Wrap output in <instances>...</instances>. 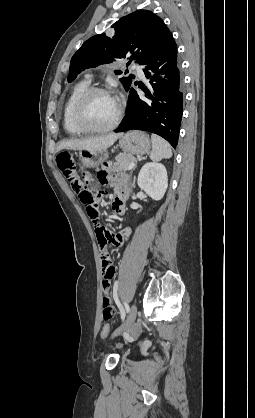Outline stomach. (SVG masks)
<instances>
[{
  "mask_svg": "<svg viewBox=\"0 0 255 418\" xmlns=\"http://www.w3.org/2000/svg\"><path fill=\"white\" fill-rule=\"evenodd\" d=\"M119 146L125 154L143 155L150 151L151 143L149 136L141 131H131L122 134L119 138ZM108 157L107 151H83L80 152V159L83 167L97 168L102 165Z\"/></svg>",
  "mask_w": 255,
  "mask_h": 418,
  "instance_id": "obj_1",
  "label": "stomach"
}]
</instances>
